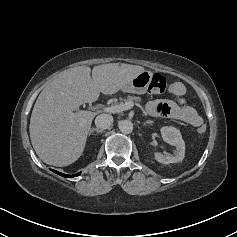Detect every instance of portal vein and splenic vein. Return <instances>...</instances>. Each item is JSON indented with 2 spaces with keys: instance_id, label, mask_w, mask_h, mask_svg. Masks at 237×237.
Segmentation results:
<instances>
[{
  "instance_id": "18ae733b",
  "label": "portal vein and splenic vein",
  "mask_w": 237,
  "mask_h": 237,
  "mask_svg": "<svg viewBox=\"0 0 237 237\" xmlns=\"http://www.w3.org/2000/svg\"><path fill=\"white\" fill-rule=\"evenodd\" d=\"M133 106H134V103L132 101H128L125 103H121L119 105L106 107V108H104V111L108 112V113H119V112H122L125 110H129V109L133 108Z\"/></svg>"
}]
</instances>
